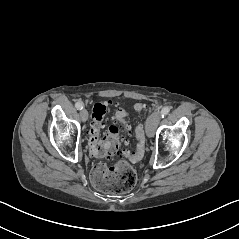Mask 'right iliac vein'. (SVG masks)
Returning a JSON list of instances; mask_svg holds the SVG:
<instances>
[{
    "label": "right iliac vein",
    "mask_w": 239,
    "mask_h": 239,
    "mask_svg": "<svg viewBox=\"0 0 239 239\" xmlns=\"http://www.w3.org/2000/svg\"><path fill=\"white\" fill-rule=\"evenodd\" d=\"M80 117L83 122H86L88 120V111L86 109H82L80 111Z\"/></svg>",
    "instance_id": "obj_1"
}]
</instances>
